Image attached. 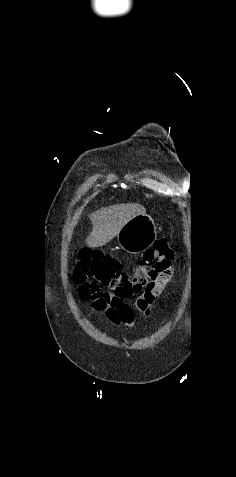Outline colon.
I'll return each instance as SVG.
<instances>
[{
	"instance_id": "5ec220e1",
	"label": "colon",
	"mask_w": 236,
	"mask_h": 477,
	"mask_svg": "<svg viewBox=\"0 0 236 477\" xmlns=\"http://www.w3.org/2000/svg\"><path fill=\"white\" fill-rule=\"evenodd\" d=\"M173 261L174 249L167 239L157 240L132 273L123 269L115 257L84 249L74 268L73 280L81 300L125 311L131 308L126 300L164 287L171 277Z\"/></svg>"
}]
</instances>
